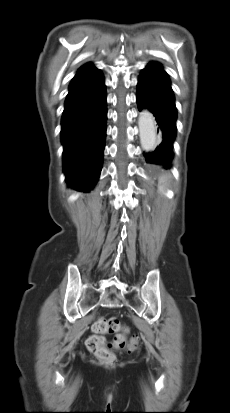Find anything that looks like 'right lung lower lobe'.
Listing matches in <instances>:
<instances>
[{
    "label": "right lung lower lobe",
    "instance_id": "right-lung-lower-lobe-1",
    "mask_svg": "<svg viewBox=\"0 0 230 413\" xmlns=\"http://www.w3.org/2000/svg\"><path fill=\"white\" fill-rule=\"evenodd\" d=\"M106 87L95 67L78 72L69 86L62 116L61 141L66 181L89 191L99 178L106 136Z\"/></svg>",
    "mask_w": 230,
    "mask_h": 413
}]
</instances>
